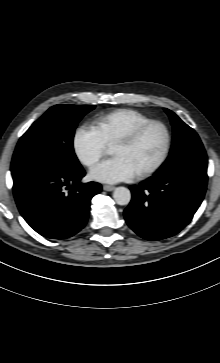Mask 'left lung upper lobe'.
<instances>
[{"instance_id":"5c2ea615","label":"left lung upper lobe","mask_w":220,"mask_h":363,"mask_svg":"<svg viewBox=\"0 0 220 363\" xmlns=\"http://www.w3.org/2000/svg\"><path fill=\"white\" fill-rule=\"evenodd\" d=\"M173 126V142L169 157L161 166H171L188 156H206L204 147L197 133L185 124L175 113L165 109ZM160 168V169H161Z\"/></svg>"}]
</instances>
